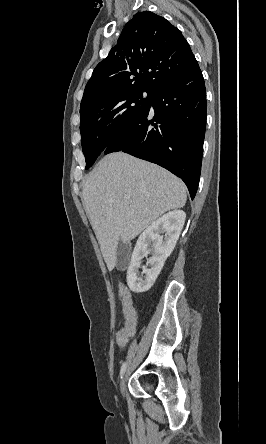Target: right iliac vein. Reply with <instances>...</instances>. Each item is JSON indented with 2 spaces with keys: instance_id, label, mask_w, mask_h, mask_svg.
Returning <instances> with one entry per match:
<instances>
[{
  "instance_id": "1",
  "label": "right iliac vein",
  "mask_w": 266,
  "mask_h": 444,
  "mask_svg": "<svg viewBox=\"0 0 266 444\" xmlns=\"http://www.w3.org/2000/svg\"><path fill=\"white\" fill-rule=\"evenodd\" d=\"M126 383H127V374H124L120 382V390L123 394L125 393L126 390Z\"/></svg>"
}]
</instances>
